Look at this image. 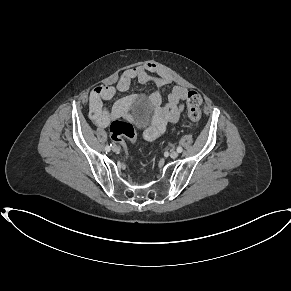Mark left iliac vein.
Returning a JSON list of instances; mask_svg holds the SVG:
<instances>
[{
  "instance_id": "4c4485c4",
  "label": "left iliac vein",
  "mask_w": 291,
  "mask_h": 291,
  "mask_svg": "<svg viewBox=\"0 0 291 291\" xmlns=\"http://www.w3.org/2000/svg\"><path fill=\"white\" fill-rule=\"evenodd\" d=\"M178 155H179V154H178L177 151H172V152L170 153V157L173 158V159H174V158H177Z\"/></svg>"
}]
</instances>
